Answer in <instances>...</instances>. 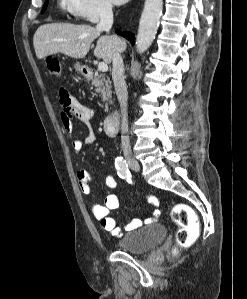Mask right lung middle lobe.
Segmentation results:
<instances>
[{
    "mask_svg": "<svg viewBox=\"0 0 247 299\" xmlns=\"http://www.w3.org/2000/svg\"><path fill=\"white\" fill-rule=\"evenodd\" d=\"M48 1H49V0H46V2H45V4H44V7H43V9H42V12L45 11V9H46V7H47V4H48Z\"/></svg>",
    "mask_w": 247,
    "mask_h": 299,
    "instance_id": "dd1d6c3e",
    "label": "right lung middle lobe"
}]
</instances>
